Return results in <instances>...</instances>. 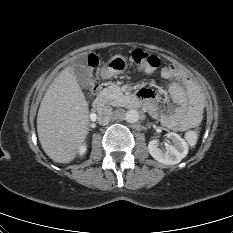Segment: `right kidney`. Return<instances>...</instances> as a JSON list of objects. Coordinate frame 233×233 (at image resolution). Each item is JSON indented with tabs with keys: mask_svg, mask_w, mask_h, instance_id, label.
Listing matches in <instances>:
<instances>
[{
	"mask_svg": "<svg viewBox=\"0 0 233 233\" xmlns=\"http://www.w3.org/2000/svg\"><path fill=\"white\" fill-rule=\"evenodd\" d=\"M78 152L80 155H84L85 152H86V146L85 145H80L79 149H78Z\"/></svg>",
	"mask_w": 233,
	"mask_h": 233,
	"instance_id": "obj_1",
	"label": "right kidney"
}]
</instances>
